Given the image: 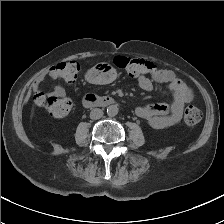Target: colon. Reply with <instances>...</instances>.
I'll return each mask as SVG.
<instances>
[{
	"label": "colon",
	"instance_id": "obj_1",
	"mask_svg": "<svg viewBox=\"0 0 224 224\" xmlns=\"http://www.w3.org/2000/svg\"><path fill=\"white\" fill-rule=\"evenodd\" d=\"M114 64L124 70L129 76L140 77L146 74L158 75L161 69L145 59L117 56ZM80 70V64L76 60H66L54 66V71L58 73L60 79L66 82H72L77 78ZM35 102L38 106L43 107L48 114L55 118H65L71 111L72 103L67 98H57L48 96L43 92L36 93ZM202 119L201 111L195 106H188L184 111V122L187 126L193 127Z\"/></svg>",
	"mask_w": 224,
	"mask_h": 224
}]
</instances>
